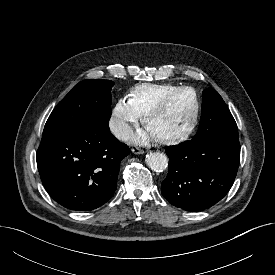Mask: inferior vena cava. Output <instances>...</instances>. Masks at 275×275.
Instances as JSON below:
<instances>
[{
	"label": "inferior vena cava",
	"instance_id": "inferior-vena-cava-1",
	"mask_svg": "<svg viewBox=\"0 0 275 275\" xmlns=\"http://www.w3.org/2000/svg\"><path fill=\"white\" fill-rule=\"evenodd\" d=\"M112 133L119 140H128L133 131L130 126L124 122H113L110 125Z\"/></svg>",
	"mask_w": 275,
	"mask_h": 275
}]
</instances>
